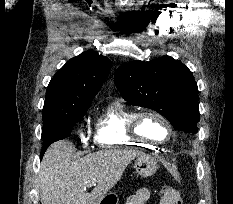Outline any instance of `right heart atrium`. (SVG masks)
Here are the masks:
<instances>
[{"label": "right heart atrium", "instance_id": "1", "mask_svg": "<svg viewBox=\"0 0 233 204\" xmlns=\"http://www.w3.org/2000/svg\"><path fill=\"white\" fill-rule=\"evenodd\" d=\"M79 137H80V141H81L82 143H84V144L87 143L88 139H87V136L84 134L83 131L80 132Z\"/></svg>", "mask_w": 233, "mask_h": 204}]
</instances>
